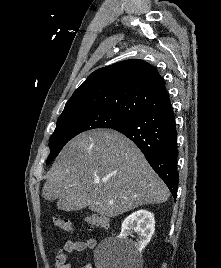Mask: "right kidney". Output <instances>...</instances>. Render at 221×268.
I'll return each mask as SVG.
<instances>
[{
  "instance_id": "ca27d5eb",
  "label": "right kidney",
  "mask_w": 221,
  "mask_h": 268,
  "mask_svg": "<svg viewBox=\"0 0 221 268\" xmlns=\"http://www.w3.org/2000/svg\"><path fill=\"white\" fill-rule=\"evenodd\" d=\"M133 231L139 236V239L134 244L128 239V236ZM154 231L155 220L153 213L146 210H139L124 219L121 227V233L118 238L125 243L130 244L133 253L138 254L149 243Z\"/></svg>"
}]
</instances>
